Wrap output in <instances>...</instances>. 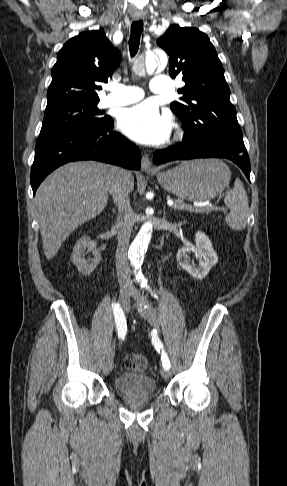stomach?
<instances>
[{
  "label": "stomach",
  "instance_id": "obj_1",
  "mask_svg": "<svg viewBox=\"0 0 287 486\" xmlns=\"http://www.w3.org/2000/svg\"><path fill=\"white\" fill-rule=\"evenodd\" d=\"M159 184L168 192L189 201L217 197L229 185V167L218 159L183 161L178 166L156 174Z\"/></svg>",
  "mask_w": 287,
  "mask_h": 486
}]
</instances>
